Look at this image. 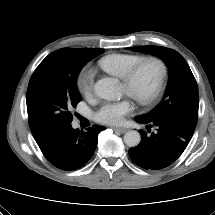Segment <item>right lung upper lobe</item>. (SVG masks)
<instances>
[{
    "label": "right lung upper lobe",
    "instance_id": "1",
    "mask_svg": "<svg viewBox=\"0 0 215 215\" xmlns=\"http://www.w3.org/2000/svg\"><path fill=\"white\" fill-rule=\"evenodd\" d=\"M86 49H90V48H86ZM46 143V142H45ZM45 143H42L41 145H43V144H45ZM41 145H39V146H41Z\"/></svg>",
    "mask_w": 215,
    "mask_h": 215
}]
</instances>
